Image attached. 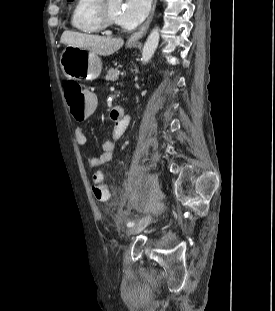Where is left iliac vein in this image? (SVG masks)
Masks as SVG:
<instances>
[{
	"label": "left iliac vein",
	"mask_w": 275,
	"mask_h": 311,
	"mask_svg": "<svg viewBox=\"0 0 275 311\" xmlns=\"http://www.w3.org/2000/svg\"><path fill=\"white\" fill-rule=\"evenodd\" d=\"M151 220H152V217L150 215H147V216L141 218L135 226L131 227L127 231V234L128 235H134V234L141 232L150 224Z\"/></svg>",
	"instance_id": "left-iliac-vein-1"
}]
</instances>
